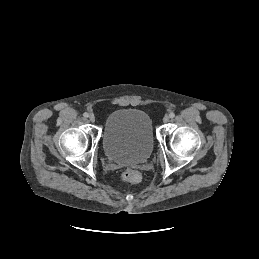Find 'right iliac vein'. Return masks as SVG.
Wrapping results in <instances>:
<instances>
[{
    "label": "right iliac vein",
    "instance_id": "63e3f726",
    "mask_svg": "<svg viewBox=\"0 0 259 259\" xmlns=\"http://www.w3.org/2000/svg\"><path fill=\"white\" fill-rule=\"evenodd\" d=\"M89 120L93 123L95 122V116L93 114L89 115Z\"/></svg>",
    "mask_w": 259,
    "mask_h": 259
}]
</instances>
